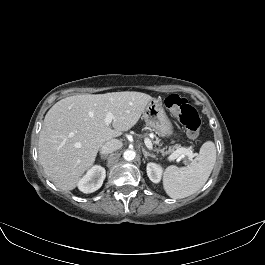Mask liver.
<instances>
[{
    "label": "liver",
    "mask_w": 265,
    "mask_h": 265,
    "mask_svg": "<svg viewBox=\"0 0 265 265\" xmlns=\"http://www.w3.org/2000/svg\"><path fill=\"white\" fill-rule=\"evenodd\" d=\"M153 98L141 92H112L66 97L47 112L38 154L47 176L63 191L74 189L105 142L128 131ZM108 112L113 129L105 124Z\"/></svg>",
    "instance_id": "liver-1"
}]
</instances>
